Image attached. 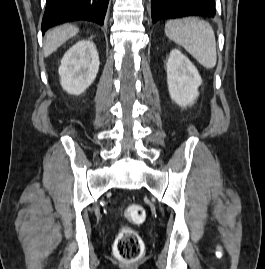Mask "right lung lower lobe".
<instances>
[{
	"label": "right lung lower lobe",
	"mask_w": 265,
	"mask_h": 269,
	"mask_svg": "<svg viewBox=\"0 0 265 269\" xmlns=\"http://www.w3.org/2000/svg\"><path fill=\"white\" fill-rule=\"evenodd\" d=\"M109 0H46L42 33L57 24L88 20L103 25Z\"/></svg>",
	"instance_id": "98d812e1"
}]
</instances>
